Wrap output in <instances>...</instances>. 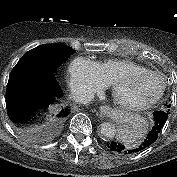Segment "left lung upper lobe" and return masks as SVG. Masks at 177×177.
<instances>
[{
    "label": "left lung upper lobe",
    "mask_w": 177,
    "mask_h": 177,
    "mask_svg": "<svg viewBox=\"0 0 177 177\" xmlns=\"http://www.w3.org/2000/svg\"><path fill=\"white\" fill-rule=\"evenodd\" d=\"M171 104H167L166 107L163 109L166 112H169V108H170Z\"/></svg>",
    "instance_id": "obj_1"
}]
</instances>
